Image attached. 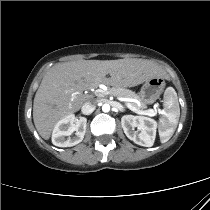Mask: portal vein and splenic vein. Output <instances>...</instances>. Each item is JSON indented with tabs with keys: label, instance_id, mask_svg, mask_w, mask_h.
I'll return each mask as SVG.
<instances>
[{
	"label": "portal vein and splenic vein",
	"instance_id": "18ae733b",
	"mask_svg": "<svg viewBox=\"0 0 210 210\" xmlns=\"http://www.w3.org/2000/svg\"><path fill=\"white\" fill-rule=\"evenodd\" d=\"M95 94L98 97H103L104 95L108 94V91L98 89L96 90ZM122 101L125 102L126 107L133 112L140 113L143 115H152L155 112L153 109L148 110V111H140L138 108L134 107L131 103H129L126 98H122ZM160 112L162 113L163 111H160Z\"/></svg>",
	"mask_w": 210,
	"mask_h": 210
}]
</instances>
